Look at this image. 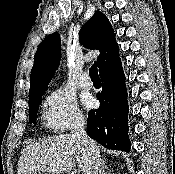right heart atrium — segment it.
<instances>
[{"mask_svg": "<svg viewBox=\"0 0 175 174\" xmlns=\"http://www.w3.org/2000/svg\"><path fill=\"white\" fill-rule=\"evenodd\" d=\"M43 115L47 128L53 132L67 131L84 123L75 97L64 89L53 90L46 96Z\"/></svg>", "mask_w": 175, "mask_h": 174, "instance_id": "1", "label": "right heart atrium"}]
</instances>
